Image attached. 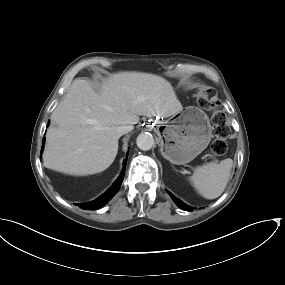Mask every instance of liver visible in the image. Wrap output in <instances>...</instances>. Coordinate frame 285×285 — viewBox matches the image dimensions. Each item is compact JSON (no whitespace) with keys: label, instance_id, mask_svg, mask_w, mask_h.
<instances>
[{"label":"liver","instance_id":"6515ba94","mask_svg":"<svg viewBox=\"0 0 285 285\" xmlns=\"http://www.w3.org/2000/svg\"><path fill=\"white\" fill-rule=\"evenodd\" d=\"M182 109L170 82L157 75L114 74L99 93L76 79L51 115L57 127L47 130L43 165L76 176L102 172L117 155V127L138 123L140 115L168 117Z\"/></svg>","mask_w":285,"mask_h":285}]
</instances>
